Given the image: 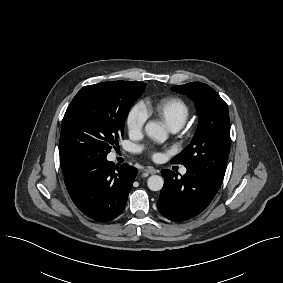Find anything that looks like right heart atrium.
I'll return each mask as SVG.
<instances>
[{
  "instance_id": "d8ad5b80",
  "label": "right heart atrium",
  "mask_w": 283,
  "mask_h": 283,
  "mask_svg": "<svg viewBox=\"0 0 283 283\" xmlns=\"http://www.w3.org/2000/svg\"><path fill=\"white\" fill-rule=\"evenodd\" d=\"M148 114L142 103L134 104L129 110L126 118V125L131 136H138L142 133L146 124Z\"/></svg>"
}]
</instances>
